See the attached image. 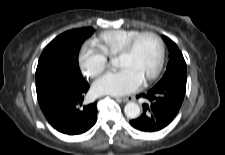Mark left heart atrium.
<instances>
[{"label": "left heart atrium", "instance_id": "left-heart-atrium-1", "mask_svg": "<svg viewBox=\"0 0 225 155\" xmlns=\"http://www.w3.org/2000/svg\"><path fill=\"white\" fill-rule=\"evenodd\" d=\"M142 79L131 69L123 68L116 72H108L94 82L92 90L96 95L120 96L136 91Z\"/></svg>", "mask_w": 225, "mask_h": 155}]
</instances>
